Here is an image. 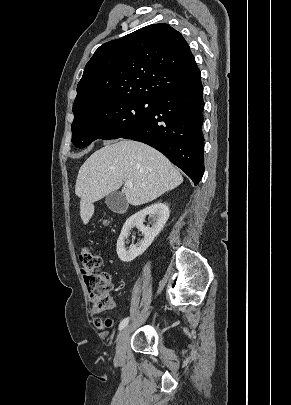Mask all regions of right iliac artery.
Returning a JSON list of instances; mask_svg holds the SVG:
<instances>
[{
  "instance_id": "82829eb1",
  "label": "right iliac artery",
  "mask_w": 291,
  "mask_h": 405,
  "mask_svg": "<svg viewBox=\"0 0 291 405\" xmlns=\"http://www.w3.org/2000/svg\"><path fill=\"white\" fill-rule=\"evenodd\" d=\"M128 322H129V318H125L124 320H122V322L119 325V330L124 329L126 327V325L128 324Z\"/></svg>"
}]
</instances>
